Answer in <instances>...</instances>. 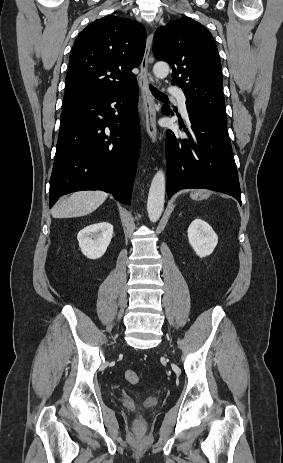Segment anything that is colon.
I'll return each mask as SVG.
<instances>
[{
    "instance_id": "colon-1",
    "label": "colon",
    "mask_w": 283,
    "mask_h": 463,
    "mask_svg": "<svg viewBox=\"0 0 283 463\" xmlns=\"http://www.w3.org/2000/svg\"><path fill=\"white\" fill-rule=\"evenodd\" d=\"M124 375L125 379L131 384H136L139 381V376L134 370H127Z\"/></svg>"
}]
</instances>
